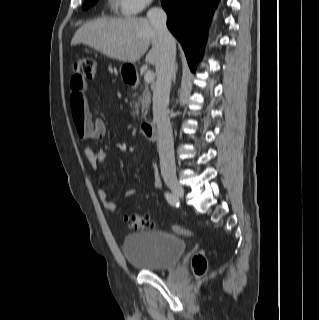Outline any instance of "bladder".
I'll list each match as a JSON object with an SVG mask.
<instances>
[{
    "label": "bladder",
    "mask_w": 319,
    "mask_h": 320,
    "mask_svg": "<svg viewBox=\"0 0 319 320\" xmlns=\"http://www.w3.org/2000/svg\"><path fill=\"white\" fill-rule=\"evenodd\" d=\"M185 250L182 237L162 230L127 235L123 244L124 256L132 266L155 272L175 267Z\"/></svg>",
    "instance_id": "1"
}]
</instances>
